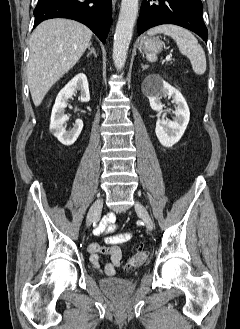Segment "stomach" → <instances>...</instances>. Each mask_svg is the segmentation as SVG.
<instances>
[{
  "instance_id": "1",
  "label": "stomach",
  "mask_w": 240,
  "mask_h": 329,
  "mask_svg": "<svg viewBox=\"0 0 240 329\" xmlns=\"http://www.w3.org/2000/svg\"><path fill=\"white\" fill-rule=\"evenodd\" d=\"M162 48L159 38L143 37L139 44V49L145 52L158 53Z\"/></svg>"
}]
</instances>
